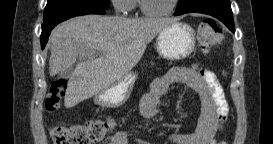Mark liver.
<instances>
[{"label":"liver","mask_w":273,"mask_h":144,"mask_svg":"<svg viewBox=\"0 0 273 144\" xmlns=\"http://www.w3.org/2000/svg\"><path fill=\"white\" fill-rule=\"evenodd\" d=\"M175 21L85 15L58 25L50 36V76L80 61L68 81L64 105L74 107L122 80L140 61L147 44Z\"/></svg>","instance_id":"obj_1"}]
</instances>
